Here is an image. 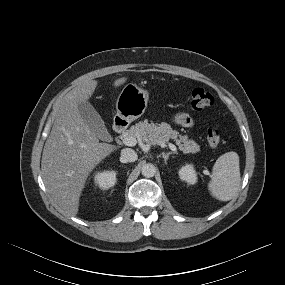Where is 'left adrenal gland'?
<instances>
[{
	"instance_id": "1",
	"label": "left adrenal gland",
	"mask_w": 285,
	"mask_h": 285,
	"mask_svg": "<svg viewBox=\"0 0 285 285\" xmlns=\"http://www.w3.org/2000/svg\"><path fill=\"white\" fill-rule=\"evenodd\" d=\"M171 154H175V152H168V153L162 152L161 155H162V157L164 158L165 163H167V160H168V158H169V156H170Z\"/></svg>"
}]
</instances>
